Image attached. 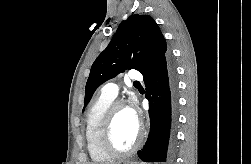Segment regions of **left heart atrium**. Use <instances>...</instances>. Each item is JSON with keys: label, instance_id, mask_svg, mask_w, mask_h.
I'll return each instance as SVG.
<instances>
[{"label": "left heart atrium", "instance_id": "39dd6f15", "mask_svg": "<svg viewBox=\"0 0 251 164\" xmlns=\"http://www.w3.org/2000/svg\"><path fill=\"white\" fill-rule=\"evenodd\" d=\"M128 111H129L130 116L133 119V121L138 124V115H137L136 109L133 107H128Z\"/></svg>", "mask_w": 251, "mask_h": 164}]
</instances>
